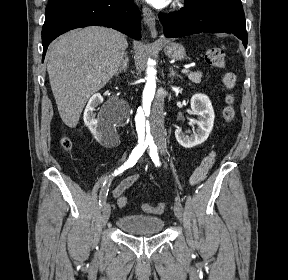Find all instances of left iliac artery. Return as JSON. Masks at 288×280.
Segmentation results:
<instances>
[{
	"mask_svg": "<svg viewBox=\"0 0 288 280\" xmlns=\"http://www.w3.org/2000/svg\"><path fill=\"white\" fill-rule=\"evenodd\" d=\"M148 146H149V155L153 161V163L156 166H161V163L159 161V157H156V152H157V146L155 145L154 141H150L148 142ZM182 193H177L175 196V201H177V203L179 204H183L184 203V198Z\"/></svg>",
	"mask_w": 288,
	"mask_h": 280,
	"instance_id": "1",
	"label": "left iliac artery"
}]
</instances>
